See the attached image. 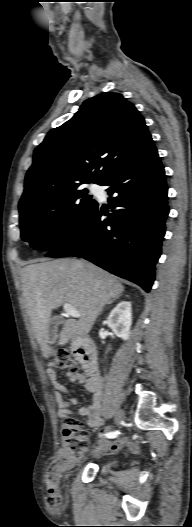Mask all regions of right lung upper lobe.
I'll list each match as a JSON object with an SVG mask.
<instances>
[{
    "instance_id": "1",
    "label": "right lung upper lobe",
    "mask_w": 192,
    "mask_h": 527,
    "mask_svg": "<svg viewBox=\"0 0 192 527\" xmlns=\"http://www.w3.org/2000/svg\"><path fill=\"white\" fill-rule=\"evenodd\" d=\"M150 140L144 118L122 94L104 92L86 100L35 149L19 206L49 200L84 183L101 185Z\"/></svg>"
}]
</instances>
